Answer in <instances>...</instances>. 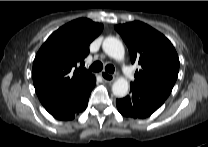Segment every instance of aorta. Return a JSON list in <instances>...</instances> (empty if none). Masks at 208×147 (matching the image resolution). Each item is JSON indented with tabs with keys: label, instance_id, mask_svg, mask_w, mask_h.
Listing matches in <instances>:
<instances>
[{
	"label": "aorta",
	"instance_id": "762f6f07",
	"mask_svg": "<svg viewBox=\"0 0 208 147\" xmlns=\"http://www.w3.org/2000/svg\"><path fill=\"white\" fill-rule=\"evenodd\" d=\"M103 51L111 58L122 61L125 50L122 42L115 37H107L102 44ZM129 83L127 79L118 78L112 85V92L116 97H125L128 93Z\"/></svg>",
	"mask_w": 208,
	"mask_h": 147
}]
</instances>
